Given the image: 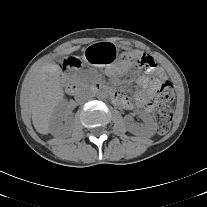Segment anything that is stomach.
Instances as JSON below:
<instances>
[{"label": "stomach", "instance_id": "1", "mask_svg": "<svg viewBox=\"0 0 207 207\" xmlns=\"http://www.w3.org/2000/svg\"><path fill=\"white\" fill-rule=\"evenodd\" d=\"M84 60L89 65L112 70L117 66L119 54L114 44L106 41L95 42L86 48Z\"/></svg>", "mask_w": 207, "mask_h": 207}]
</instances>
